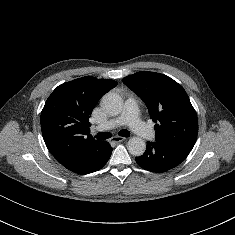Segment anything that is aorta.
Returning <instances> with one entry per match:
<instances>
[{
  "instance_id": "1",
  "label": "aorta",
  "mask_w": 235,
  "mask_h": 235,
  "mask_svg": "<svg viewBox=\"0 0 235 235\" xmlns=\"http://www.w3.org/2000/svg\"><path fill=\"white\" fill-rule=\"evenodd\" d=\"M101 104L103 109L112 116L120 114L123 109V99L114 92H109L104 95ZM127 149L131 155L141 156L146 150V143L140 137H132L128 141Z\"/></svg>"
}]
</instances>
